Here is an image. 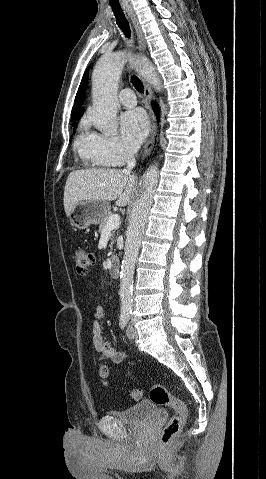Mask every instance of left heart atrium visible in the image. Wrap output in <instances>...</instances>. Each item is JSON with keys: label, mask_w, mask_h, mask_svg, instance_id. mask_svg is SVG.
Masks as SVG:
<instances>
[{"label": "left heart atrium", "mask_w": 266, "mask_h": 479, "mask_svg": "<svg viewBox=\"0 0 266 479\" xmlns=\"http://www.w3.org/2000/svg\"><path fill=\"white\" fill-rule=\"evenodd\" d=\"M120 127L126 144L130 148L136 149L145 139L149 130V123L144 111L134 109L122 114Z\"/></svg>", "instance_id": "39dd6f15"}]
</instances>
